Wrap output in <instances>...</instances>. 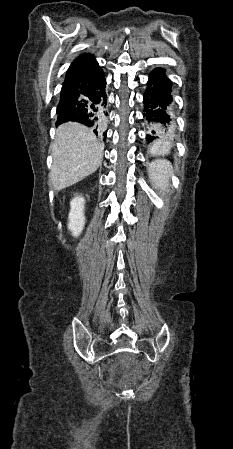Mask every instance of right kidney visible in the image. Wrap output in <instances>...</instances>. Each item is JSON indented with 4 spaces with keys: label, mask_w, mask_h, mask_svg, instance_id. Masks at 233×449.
I'll list each match as a JSON object with an SVG mask.
<instances>
[{
    "label": "right kidney",
    "mask_w": 233,
    "mask_h": 449,
    "mask_svg": "<svg viewBox=\"0 0 233 449\" xmlns=\"http://www.w3.org/2000/svg\"><path fill=\"white\" fill-rule=\"evenodd\" d=\"M84 204L85 199L82 196H75L70 202L68 229L76 237L80 235L85 226Z\"/></svg>",
    "instance_id": "ca27d5eb"
}]
</instances>
